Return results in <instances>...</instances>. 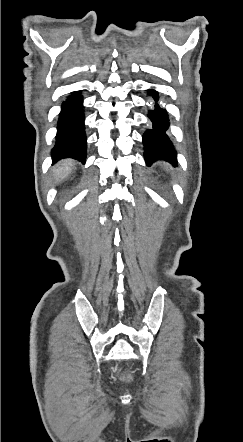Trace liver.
<instances>
[{"instance_id": "liver-1", "label": "liver", "mask_w": 243, "mask_h": 442, "mask_svg": "<svg viewBox=\"0 0 243 442\" xmlns=\"http://www.w3.org/2000/svg\"><path fill=\"white\" fill-rule=\"evenodd\" d=\"M74 165V161L71 159H66L61 161L54 168V176L56 177L57 182L65 179L70 172L72 171Z\"/></svg>"}]
</instances>
